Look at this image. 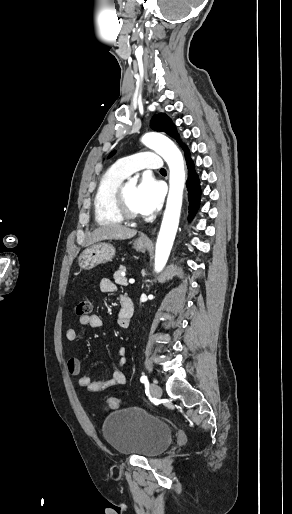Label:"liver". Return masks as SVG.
<instances>
[{"mask_svg": "<svg viewBox=\"0 0 292 514\" xmlns=\"http://www.w3.org/2000/svg\"><path fill=\"white\" fill-rule=\"evenodd\" d=\"M137 230H130L126 226H119V224H112V226H100L96 228L91 234V238L86 240V246L101 242V240H129L136 236Z\"/></svg>", "mask_w": 292, "mask_h": 514, "instance_id": "6515ba94", "label": "liver"}]
</instances>
